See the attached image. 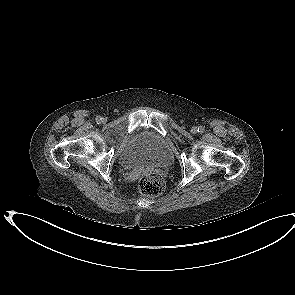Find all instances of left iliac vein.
Returning a JSON list of instances; mask_svg holds the SVG:
<instances>
[{"mask_svg":"<svg viewBox=\"0 0 295 295\" xmlns=\"http://www.w3.org/2000/svg\"><path fill=\"white\" fill-rule=\"evenodd\" d=\"M191 132L192 133H196L197 132V128L196 127H192Z\"/></svg>","mask_w":295,"mask_h":295,"instance_id":"4c4485c4","label":"left iliac vein"}]
</instances>
